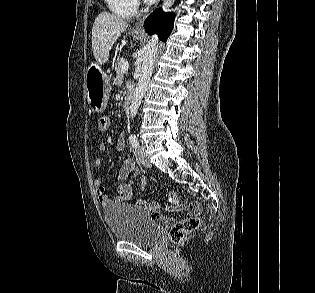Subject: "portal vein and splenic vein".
I'll return each instance as SVG.
<instances>
[{
	"label": "portal vein and splenic vein",
	"instance_id": "obj_1",
	"mask_svg": "<svg viewBox=\"0 0 315 293\" xmlns=\"http://www.w3.org/2000/svg\"><path fill=\"white\" fill-rule=\"evenodd\" d=\"M128 68H129V63L126 61L123 64L122 72L125 73L126 71H128Z\"/></svg>",
	"mask_w": 315,
	"mask_h": 293
}]
</instances>
